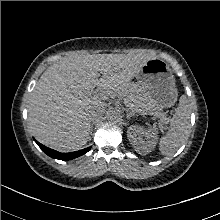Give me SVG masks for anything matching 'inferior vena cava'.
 <instances>
[{"label":"inferior vena cava","mask_w":220,"mask_h":220,"mask_svg":"<svg viewBox=\"0 0 220 220\" xmlns=\"http://www.w3.org/2000/svg\"><path fill=\"white\" fill-rule=\"evenodd\" d=\"M104 112H105V107H96L90 112V120L96 121L102 118Z\"/></svg>","instance_id":"inferior-vena-cava-1"}]
</instances>
